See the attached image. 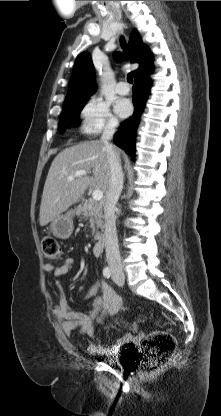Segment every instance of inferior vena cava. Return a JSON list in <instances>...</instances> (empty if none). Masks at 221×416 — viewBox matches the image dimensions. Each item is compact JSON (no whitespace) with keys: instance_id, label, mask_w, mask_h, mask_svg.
I'll return each mask as SVG.
<instances>
[{"instance_id":"inferior-vena-cava-1","label":"inferior vena cava","mask_w":221,"mask_h":416,"mask_svg":"<svg viewBox=\"0 0 221 416\" xmlns=\"http://www.w3.org/2000/svg\"><path fill=\"white\" fill-rule=\"evenodd\" d=\"M117 126L118 124L116 121H110L101 136V142L105 146L107 160L110 167L109 186L104 203V243L106 260L111 272H122V263L116 231L115 207L123 188V172L119 153L110 143L116 132Z\"/></svg>"}]
</instances>
